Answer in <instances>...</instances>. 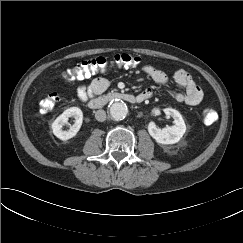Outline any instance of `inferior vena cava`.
<instances>
[{"instance_id":"obj_1","label":"inferior vena cava","mask_w":243,"mask_h":243,"mask_svg":"<svg viewBox=\"0 0 243 243\" xmlns=\"http://www.w3.org/2000/svg\"><path fill=\"white\" fill-rule=\"evenodd\" d=\"M96 120L103 122L106 119V112L104 110H97L95 113Z\"/></svg>"}]
</instances>
